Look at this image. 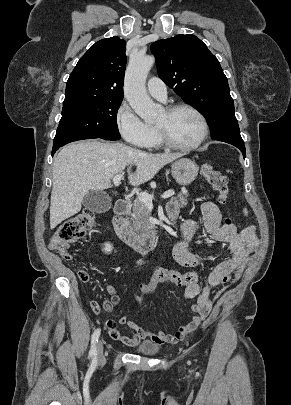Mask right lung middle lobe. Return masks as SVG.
Segmentation results:
<instances>
[{"mask_svg": "<svg viewBox=\"0 0 291 405\" xmlns=\"http://www.w3.org/2000/svg\"><path fill=\"white\" fill-rule=\"evenodd\" d=\"M121 102V98H113L63 103L62 118L52 152L67 143L82 139H120L116 117Z\"/></svg>", "mask_w": 291, "mask_h": 405, "instance_id": "dd1d6c3e", "label": "right lung middle lobe"}]
</instances>
